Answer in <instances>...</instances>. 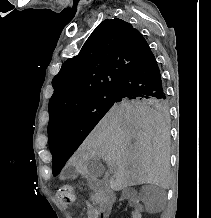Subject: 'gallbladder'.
<instances>
[{
	"label": "gallbladder",
	"instance_id": "1",
	"mask_svg": "<svg viewBox=\"0 0 211 218\" xmlns=\"http://www.w3.org/2000/svg\"><path fill=\"white\" fill-rule=\"evenodd\" d=\"M87 172L89 176H93V178H101L105 172V168L99 158H92L87 164Z\"/></svg>",
	"mask_w": 211,
	"mask_h": 218
}]
</instances>
